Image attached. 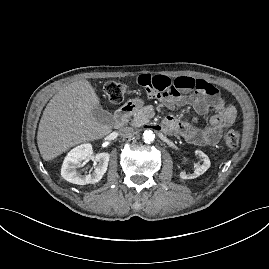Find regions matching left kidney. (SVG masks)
I'll return each instance as SVG.
<instances>
[{
    "instance_id": "5707ae66",
    "label": "left kidney",
    "mask_w": 269,
    "mask_h": 269,
    "mask_svg": "<svg viewBox=\"0 0 269 269\" xmlns=\"http://www.w3.org/2000/svg\"><path fill=\"white\" fill-rule=\"evenodd\" d=\"M195 155L202 158L203 164L198 166L192 174L186 173L185 171L180 172L181 179L197 178L198 176L204 174L209 169L211 162L208 156L205 153H203L201 150H196Z\"/></svg>"
}]
</instances>
